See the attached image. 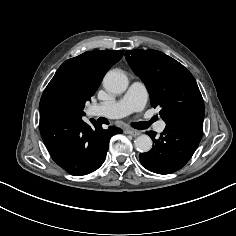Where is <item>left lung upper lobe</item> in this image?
I'll list each match as a JSON object with an SVG mask.
<instances>
[{
  "mask_svg": "<svg viewBox=\"0 0 236 236\" xmlns=\"http://www.w3.org/2000/svg\"><path fill=\"white\" fill-rule=\"evenodd\" d=\"M125 56L145 83L151 105L161 107L160 116L166 124L204 119L202 95L193 75L182 64L156 50H130Z\"/></svg>",
  "mask_w": 236,
  "mask_h": 236,
  "instance_id": "5c2ea615",
  "label": "left lung upper lobe"
}]
</instances>
